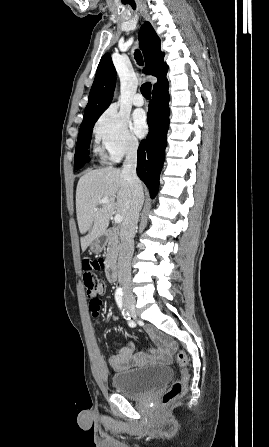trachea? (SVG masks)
<instances>
[{
  "label": "trachea",
  "mask_w": 269,
  "mask_h": 447,
  "mask_svg": "<svg viewBox=\"0 0 269 447\" xmlns=\"http://www.w3.org/2000/svg\"><path fill=\"white\" fill-rule=\"evenodd\" d=\"M135 59H136L137 63H139L140 65L143 63L142 56L139 51L135 52ZM141 93L145 98H147V99L151 98V83L150 82H146V83H143V85H141Z\"/></svg>",
  "instance_id": "3493384b"
}]
</instances>
